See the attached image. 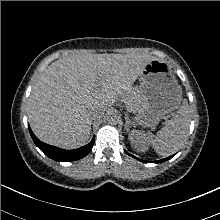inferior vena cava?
Here are the masks:
<instances>
[{
  "instance_id": "obj_1",
  "label": "inferior vena cava",
  "mask_w": 220,
  "mask_h": 220,
  "mask_svg": "<svg viewBox=\"0 0 220 220\" xmlns=\"http://www.w3.org/2000/svg\"><path fill=\"white\" fill-rule=\"evenodd\" d=\"M104 116V112L100 109H95L91 112V120L98 121Z\"/></svg>"
}]
</instances>
